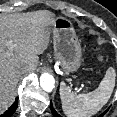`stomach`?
<instances>
[{"label": "stomach", "instance_id": "obj_1", "mask_svg": "<svg viewBox=\"0 0 117 117\" xmlns=\"http://www.w3.org/2000/svg\"><path fill=\"white\" fill-rule=\"evenodd\" d=\"M51 25L56 61L64 71H77L81 65L82 48L72 22L65 17L56 16Z\"/></svg>", "mask_w": 117, "mask_h": 117}]
</instances>
